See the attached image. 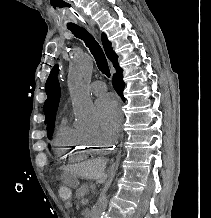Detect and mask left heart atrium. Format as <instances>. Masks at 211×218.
I'll return each mask as SVG.
<instances>
[{"instance_id": "1", "label": "left heart atrium", "mask_w": 211, "mask_h": 218, "mask_svg": "<svg viewBox=\"0 0 211 218\" xmlns=\"http://www.w3.org/2000/svg\"><path fill=\"white\" fill-rule=\"evenodd\" d=\"M96 110L101 129L113 136L120 127L122 110L115 96L106 94L96 101Z\"/></svg>"}]
</instances>
